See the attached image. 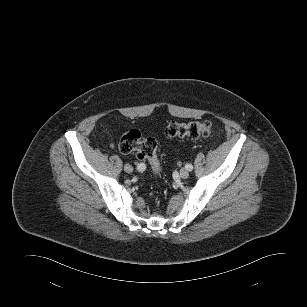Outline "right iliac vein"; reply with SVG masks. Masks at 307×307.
Segmentation results:
<instances>
[{"label": "right iliac vein", "mask_w": 307, "mask_h": 307, "mask_svg": "<svg viewBox=\"0 0 307 307\" xmlns=\"http://www.w3.org/2000/svg\"><path fill=\"white\" fill-rule=\"evenodd\" d=\"M124 170H125V172H127V173H132V172H133V167H132L131 165H129V164H126V165L124 166Z\"/></svg>", "instance_id": "right-iliac-vein-1"}]
</instances>
